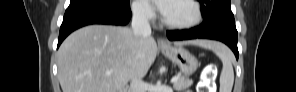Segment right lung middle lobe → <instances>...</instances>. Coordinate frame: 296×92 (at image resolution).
<instances>
[{"mask_svg":"<svg viewBox=\"0 0 296 92\" xmlns=\"http://www.w3.org/2000/svg\"><path fill=\"white\" fill-rule=\"evenodd\" d=\"M104 1L110 2L115 5H125L129 2V0H104Z\"/></svg>","mask_w":296,"mask_h":92,"instance_id":"right-lung-middle-lobe-1","label":"right lung middle lobe"}]
</instances>
